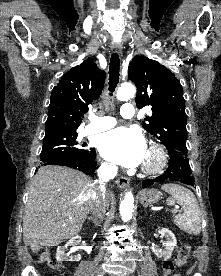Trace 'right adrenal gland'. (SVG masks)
Segmentation results:
<instances>
[{
	"mask_svg": "<svg viewBox=\"0 0 221 276\" xmlns=\"http://www.w3.org/2000/svg\"><path fill=\"white\" fill-rule=\"evenodd\" d=\"M88 220L92 221L96 227L100 226V224H101V221H97V220L93 219L92 217H88Z\"/></svg>",
	"mask_w": 221,
	"mask_h": 276,
	"instance_id": "2a0ac1e0",
	"label": "right adrenal gland"
}]
</instances>
